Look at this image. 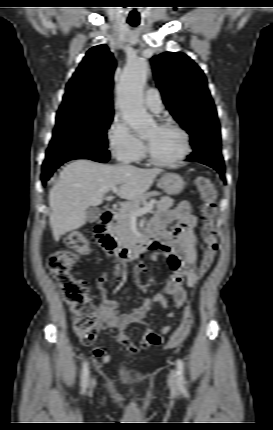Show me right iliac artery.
<instances>
[{
  "mask_svg": "<svg viewBox=\"0 0 273 430\" xmlns=\"http://www.w3.org/2000/svg\"><path fill=\"white\" fill-rule=\"evenodd\" d=\"M88 380H89L88 364H87V362H84L83 367H82V375H81L82 392H85V389L88 386Z\"/></svg>",
  "mask_w": 273,
  "mask_h": 430,
  "instance_id": "82829eb1",
  "label": "right iliac artery"
}]
</instances>
